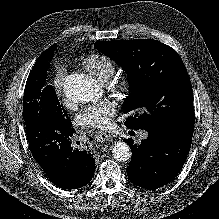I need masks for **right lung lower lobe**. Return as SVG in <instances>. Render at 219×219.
Segmentation results:
<instances>
[{"label": "right lung lower lobe", "instance_id": "obj_1", "mask_svg": "<svg viewBox=\"0 0 219 219\" xmlns=\"http://www.w3.org/2000/svg\"><path fill=\"white\" fill-rule=\"evenodd\" d=\"M25 124L31 153L52 183L77 189L91 181L95 159L89 148H74L76 132L72 126L44 113Z\"/></svg>", "mask_w": 219, "mask_h": 219}]
</instances>
